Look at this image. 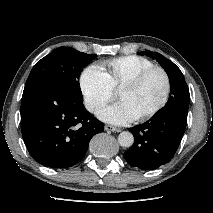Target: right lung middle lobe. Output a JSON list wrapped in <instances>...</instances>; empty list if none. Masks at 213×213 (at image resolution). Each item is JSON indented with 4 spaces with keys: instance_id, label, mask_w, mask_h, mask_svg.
Here are the masks:
<instances>
[{
    "instance_id": "right-lung-middle-lobe-1",
    "label": "right lung middle lobe",
    "mask_w": 213,
    "mask_h": 213,
    "mask_svg": "<svg viewBox=\"0 0 213 213\" xmlns=\"http://www.w3.org/2000/svg\"><path fill=\"white\" fill-rule=\"evenodd\" d=\"M95 56L70 47H59L35 64L26 84L50 82L66 91L72 98L82 101L78 78L85 65Z\"/></svg>"
}]
</instances>
